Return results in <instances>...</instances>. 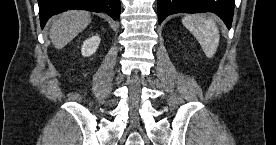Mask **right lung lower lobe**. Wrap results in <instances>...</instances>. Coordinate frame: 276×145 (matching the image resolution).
Wrapping results in <instances>:
<instances>
[{
  "mask_svg": "<svg viewBox=\"0 0 276 145\" xmlns=\"http://www.w3.org/2000/svg\"><path fill=\"white\" fill-rule=\"evenodd\" d=\"M38 4L42 28L52 15L70 9L106 12L114 20L119 19L121 12L120 0H38Z\"/></svg>",
  "mask_w": 276,
  "mask_h": 145,
  "instance_id": "1",
  "label": "right lung lower lobe"
}]
</instances>
